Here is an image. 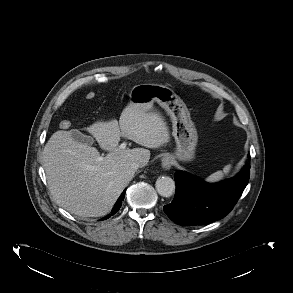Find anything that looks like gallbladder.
<instances>
[{"instance_id":"obj_1","label":"gallbladder","mask_w":293,"mask_h":293,"mask_svg":"<svg viewBox=\"0 0 293 293\" xmlns=\"http://www.w3.org/2000/svg\"><path fill=\"white\" fill-rule=\"evenodd\" d=\"M71 136L75 141L86 145H91L93 142V138L91 136L84 135L78 130H72Z\"/></svg>"}]
</instances>
